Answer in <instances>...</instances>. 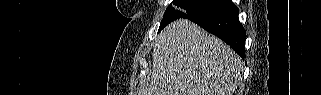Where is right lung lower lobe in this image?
I'll return each instance as SVG.
<instances>
[{
	"label": "right lung lower lobe",
	"mask_w": 321,
	"mask_h": 95,
	"mask_svg": "<svg viewBox=\"0 0 321 95\" xmlns=\"http://www.w3.org/2000/svg\"><path fill=\"white\" fill-rule=\"evenodd\" d=\"M238 14L239 9L231 0H213L184 18L221 38L244 59L246 31Z\"/></svg>",
	"instance_id": "right-lung-lower-lobe-1"
}]
</instances>
